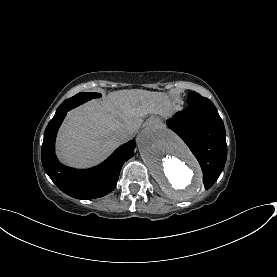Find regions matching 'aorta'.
<instances>
[{
	"label": "aorta",
	"instance_id": "762f6f07",
	"mask_svg": "<svg viewBox=\"0 0 277 277\" xmlns=\"http://www.w3.org/2000/svg\"><path fill=\"white\" fill-rule=\"evenodd\" d=\"M141 157L162 190L179 201L202 189L201 168L183 141L163 127H149L137 138Z\"/></svg>",
	"mask_w": 277,
	"mask_h": 277
}]
</instances>
